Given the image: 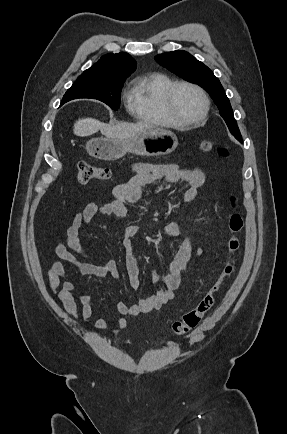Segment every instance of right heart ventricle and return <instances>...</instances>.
I'll return each mask as SVG.
<instances>
[{
	"label": "right heart ventricle",
	"instance_id": "e07e8e85",
	"mask_svg": "<svg viewBox=\"0 0 287 434\" xmlns=\"http://www.w3.org/2000/svg\"><path fill=\"white\" fill-rule=\"evenodd\" d=\"M173 80L162 73H150L134 79L129 94L128 109L137 119L160 126L177 124L168 115L164 97Z\"/></svg>",
	"mask_w": 287,
	"mask_h": 434
}]
</instances>
